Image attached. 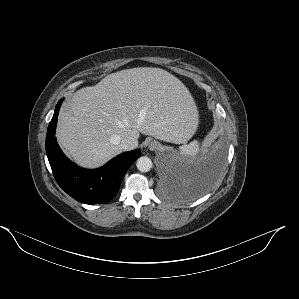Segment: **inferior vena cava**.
Wrapping results in <instances>:
<instances>
[{
    "instance_id": "1",
    "label": "inferior vena cava",
    "mask_w": 299,
    "mask_h": 299,
    "mask_svg": "<svg viewBox=\"0 0 299 299\" xmlns=\"http://www.w3.org/2000/svg\"><path fill=\"white\" fill-rule=\"evenodd\" d=\"M138 146V140L128 136L120 141V147L124 151L132 150Z\"/></svg>"
}]
</instances>
